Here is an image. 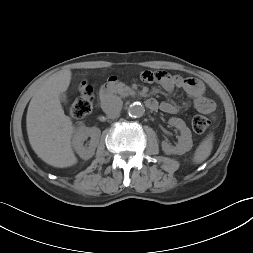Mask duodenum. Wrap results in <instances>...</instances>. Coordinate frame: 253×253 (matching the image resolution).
<instances>
[{"mask_svg":"<svg viewBox=\"0 0 253 253\" xmlns=\"http://www.w3.org/2000/svg\"><path fill=\"white\" fill-rule=\"evenodd\" d=\"M116 85H117L116 78H111L100 91L101 101L105 102L109 98L111 91L115 88ZM145 104L147 108L151 110H156L158 108V102L153 98L147 99L145 101Z\"/></svg>","mask_w":253,"mask_h":253,"instance_id":"duodenum-1","label":"duodenum"}]
</instances>
